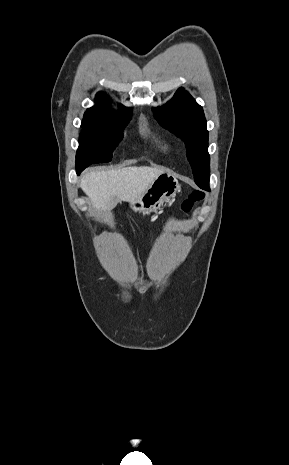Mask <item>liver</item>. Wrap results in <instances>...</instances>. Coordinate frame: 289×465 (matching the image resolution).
<instances>
[{"instance_id":"obj_1","label":"liver","mask_w":289,"mask_h":465,"mask_svg":"<svg viewBox=\"0 0 289 465\" xmlns=\"http://www.w3.org/2000/svg\"><path fill=\"white\" fill-rule=\"evenodd\" d=\"M161 173L162 170L147 166L91 171L81 178L80 187L92 206L106 213L118 202L140 197Z\"/></svg>"}]
</instances>
